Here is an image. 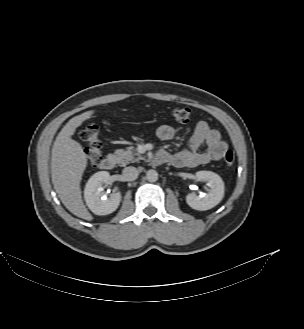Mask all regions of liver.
<instances>
[{
  "mask_svg": "<svg viewBox=\"0 0 304 329\" xmlns=\"http://www.w3.org/2000/svg\"><path fill=\"white\" fill-rule=\"evenodd\" d=\"M94 112L86 111L68 121L56 137L51 156V177L55 191L72 214L87 221H91L93 217L83 203L80 188L87 157L80 143L71 136Z\"/></svg>",
  "mask_w": 304,
  "mask_h": 329,
  "instance_id": "liver-1",
  "label": "liver"
}]
</instances>
